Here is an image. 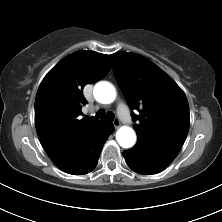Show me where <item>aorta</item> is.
Masks as SVG:
<instances>
[{
  "label": "aorta",
  "instance_id": "obj_1",
  "mask_svg": "<svg viewBox=\"0 0 222 222\" xmlns=\"http://www.w3.org/2000/svg\"><path fill=\"white\" fill-rule=\"evenodd\" d=\"M96 101L110 104L116 98V91L112 84L106 81L98 82L93 90ZM116 140L123 148H131L136 142L135 131L128 126H122L116 133Z\"/></svg>",
  "mask_w": 222,
  "mask_h": 222
}]
</instances>
